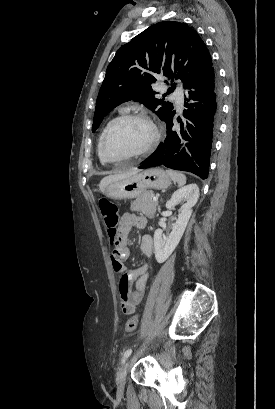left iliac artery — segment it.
Masks as SVG:
<instances>
[{
    "label": "left iliac artery",
    "instance_id": "left-iliac-artery-1",
    "mask_svg": "<svg viewBox=\"0 0 275 409\" xmlns=\"http://www.w3.org/2000/svg\"><path fill=\"white\" fill-rule=\"evenodd\" d=\"M131 353H132V349H131V348L127 349V350L124 352V354H123V356H122V359H121V364L125 363L126 359L131 355Z\"/></svg>",
    "mask_w": 275,
    "mask_h": 409
}]
</instances>
